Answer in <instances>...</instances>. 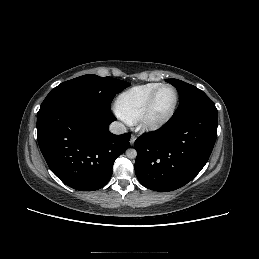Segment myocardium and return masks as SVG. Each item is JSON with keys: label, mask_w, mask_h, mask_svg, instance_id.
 Wrapping results in <instances>:
<instances>
[{"label": "myocardium", "mask_w": 259, "mask_h": 259, "mask_svg": "<svg viewBox=\"0 0 259 259\" xmlns=\"http://www.w3.org/2000/svg\"><path fill=\"white\" fill-rule=\"evenodd\" d=\"M163 88H170L173 91L174 102H173L171 108L169 109V111L167 113H165L162 116L155 117L153 115L154 103H155V100H156V97H157L158 93ZM178 102H179V94H178L177 89L171 84H167V83L161 84L151 94L142 114L138 118L137 123H138L139 128L142 131H145V132H152V131H156V130L162 128L174 116V114L177 110Z\"/></svg>", "instance_id": "1"}]
</instances>
